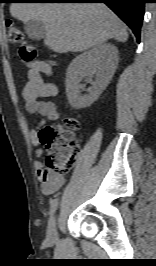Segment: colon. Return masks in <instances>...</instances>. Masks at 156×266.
I'll return each mask as SVG.
<instances>
[{"mask_svg":"<svg viewBox=\"0 0 156 266\" xmlns=\"http://www.w3.org/2000/svg\"><path fill=\"white\" fill-rule=\"evenodd\" d=\"M9 40L20 46L19 54L23 61L32 62L38 58V48L28 43L22 30L12 21L6 23ZM78 121L65 118L61 125L47 126L40 133V141L47 151L46 166L51 173L62 175L75 165L80 146L76 139Z\"/></svg>","mask_w":156,"mask_h":266,"instance_id":"5ec220e1","label":"colon"}]
</instances>
